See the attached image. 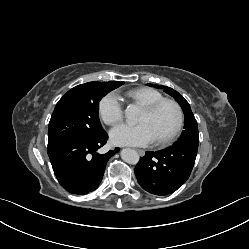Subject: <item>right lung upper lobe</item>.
<instances>
[{
  "mask_svg": "<svg viewBox=\"0 0 249 249\" xmlns=\"http://www.w3.org/2000/svg\"><path fill=\"white\" fill-rule=\"evenodd\" d=\"M104 84H107L109 86H114V87H119L121 86V81H110V82H102ZM72 91V89L70 91H68L67 93H70Z\"/></svg>",
  "mask_w": 249,
  "mask_h": 249,
  "instance_id": "obj_1",
  "label": "right lung upper lobe"
}]
</instances>
